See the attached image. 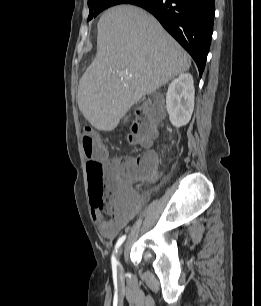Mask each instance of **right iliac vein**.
Wrapping results in <instances>:
<instances>
[{"instance_id":"63e3f726","label":"right iliac vein","mask_w":261,"mask_h":306,"mask_svg":"<svg viewBox=\"0 0 261 306\" xmlns=\"http://www.w3.org/2000/svg\"><path fill=\"white\" fill-rule=\"evenodd\" d=\"M122 250H123V247L119 249L118 254H117L118 257H120V255L122 254Z\"/></svg>"}]
</instances>
